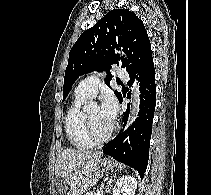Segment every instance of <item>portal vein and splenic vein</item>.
<instances>
[{
	"label": "portal vein and splenic vein",
	"mask_w": 211,
	"mask_h": 195,
	"mask_svg": "<svg viewBox=\"0 0 211 195\" xmlns=\"http://www.w3.org/2000/svg\"><path fill=\"white\" fill-rule=\"evenodd\" d=\"M96 195H103V191H102V190L98 191V192L96 193Z\"/></svg>",
	"instance_id": "1"
}]
</instances>
